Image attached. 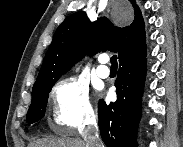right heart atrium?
<instances>
[{
  "instance_id": "1",
  "label": "right heart atrium",
  "mask_w": 183,
  "mask_h": 147,
  "mask_svg": "<svg viewBox=\"0 0 183 147\" xmlns=\"http://www.w3.org/2000/svg\"><path fill=\"white\" fill-rule=\"evenodd\" d=\"M52 115L58 127L80 131L95 119L87 84L77 76H68L51 91Z\"/></svg>"
}]
</instances>
